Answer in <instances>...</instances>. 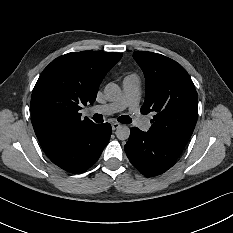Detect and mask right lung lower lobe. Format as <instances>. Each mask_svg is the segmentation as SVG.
<instances>
[{
  "mask_svg": "<svg viewBox=\"0 0 233 233\" xmlns=\"http://www.w3.org/2000/svg\"><path fill=\"white\" fill-rule=\"evenodd\" d=\"M111 135L109 123L77 133L62 143L44 149L48 158L58 167L70 173H82L100 157Z\"/></svg>",
  "mask_w": 233,
  "mask_h": 233,
  "instance_id": "obj_1",
  "label": "right lung lower lobe"
}]
</instances>
